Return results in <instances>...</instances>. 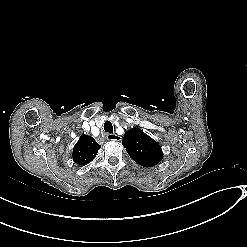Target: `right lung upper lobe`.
Listing matches in <instances>:
<instances>
[{
	"instance_id": "right-lung-upper-lobe-1",
	"label": "right lung upper lobe",
	"mask_w": 247,
	"mask_h": 247,
	"mask_svg": "<svg viewBox=\"0 0 247 247\" xmlns=\"http://www.w3.org/2000/svg\"><path fill=\"white\" fill-rule=\"evenodd\" d=\"M100 147L91 136L81 135L73 149V161L79 165L90 163L95 158Z\"/></svg>"
}]
</instances>
